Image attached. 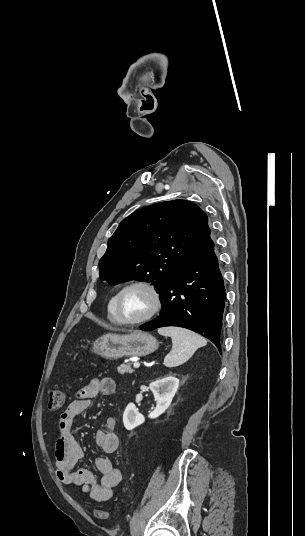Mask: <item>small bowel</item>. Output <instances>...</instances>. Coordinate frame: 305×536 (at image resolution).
<instances>
[{
  "label": "small bowel",
  "instance_id": "small-bowel-1",
  "mask_svg": "<svg viewBox=\"0 0 305 536\" xmlns=\"http://www.w3.org/2000/svg\"><path fill=\"white\" fill-rule=\"evenodd\" d=\"M115 390L116 383L112 378H94L78 390L76 398L59 418V433L54 453L57 464L56 476L65 485L80 488L96 502H105L113 497L115 488L122 480V474L107 456H100L95 460V466L101 474L100 479L88 469L74 470L76 464L83 458L84 452L74 437L72 428L76 417L90 407L95 397L111 395ZM94 439L97 447L106 454L117 450L119 442L114 417H107L104 420L103 429L95 433Z\"/></svg>",
  "mask_w": 305,
  "mask_h": 536
}]
</instances>
